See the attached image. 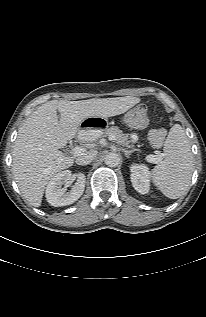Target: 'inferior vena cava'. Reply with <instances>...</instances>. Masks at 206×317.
Here are the masks:
<instances>
[{
    "label": "inferior vena cava",
    "mask_w": 206,
    "mask_h": 317,
    "mask_svg": "<svg viewBox=\"0 0 206 317\" xmlns=\"http://www.w3.org/2000/svg\"><path fill=\"white\" fill-rule=\"evenodd\" d=\"M97 156L96 151H89L86 153H82L76 158V163L78 165H87L90 164Z\"/></svg>",
    "instance_id": "inferior-vena-cava-1"
}]
</instances>
